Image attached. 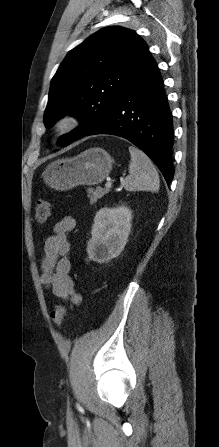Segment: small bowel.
I'll return each instance as SVG.
<instances>
[{
	"mask_svg": "<svg viewBox=\"0 0 219 447\" xmlns=\"http://www.w3.org/2000/svg\"><path fill=\"white\" fill-rule=\"evenodd\" d=\"M75 226L76 220L71 214H65L54 224L53 234L46 240L41 258V283L56 297L78 305L81 296L76 292L68 257L70 251L68 235Z\"/></svg>",
	"mask_w": 219,
	"mask_h": 447,
	"instance_id": "obj_1",
	"label": "small bowel"
}]
</instances>
